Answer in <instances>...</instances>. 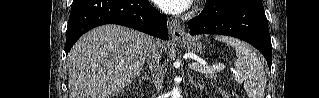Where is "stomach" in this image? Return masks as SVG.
<instances>
[{
	"mask_svg": "<svg viewBox=\"0 0 319 98\" xmlns=\"http://www.w3.org/2000/svg\"><path fill=\"white\" fill-rule=\"evenodd\" d=\"M179 45L191 53L201 54L203 52L202 45L193 37H187L180 40Z\"/></svg>",
	"mask_w": 319,
	"mask_h": 98,
	"instance_id": "stomach-1",
	"label": "stomach"
}]
</instances>
